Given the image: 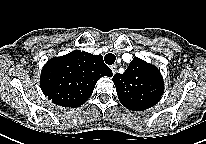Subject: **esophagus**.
I'll return each instance as SVG.
<instances>
[{
    "instance_id": "1",
    "label": "esophagus",
    "mask_w": 206,
    "mask_h": 144,
    "mask_svg": "<svg viewBox=\"0 0 206 144\" xmlns=\"http://www.w3.org/2000/svg\"><path fill=\"white\" fill-rule=\"evenodd\" d=\"M110 68H111V70H112V73L115 74V73H116V70H117V65H115V64H114V65H111Z\"/></svg>"
}]
</instances>
